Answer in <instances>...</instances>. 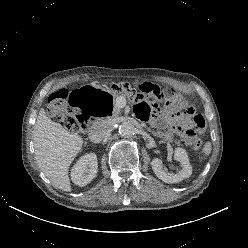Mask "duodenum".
Listing matches in <instances>:
<instances>
[{"instance_id":"1","label":"duodenum","mask_w":248,"mask_h":248,"mask_svg":"<svg viewBox=\"0 0 248 248\" xmlns=\"http://www.w3.org/2000/svg\"><path fill=\"white\" fill-rule=\"evenodd\" d=\"M95 118L92 113L86 112L82 119L83 128L87 129Z\"/></svg>"}]
</instances>
